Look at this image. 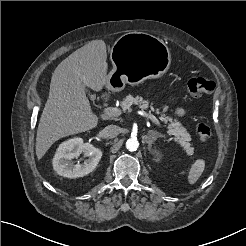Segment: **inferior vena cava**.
<instances>
[{
  "label": "inferior vena cava",
  "mask_w": 246,
  "mask_h": 246,
  "mask_svg": "<svg viewBox=\"0 0 246 246\" xmlns=\"http://www.w3.org/2000/svg\"><path fill=\"white\" fill-rule=\"evenodd\" d=\"M120 130L117 125H108L101 131V135L104 138H114L120 133Z\"/></svg>",
  "instance_id": "1"
}]
</instances>
